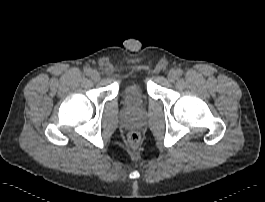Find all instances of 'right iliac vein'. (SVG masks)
I'll use <instances>...</instances> for the list:
<instances>
[{
    "label": "right iliac vein",
    "instance_id": "63e3f726",
    "mask_svg": "<svg viewBox=\"0 0 265 202\" xmlns=\"http://www.w3.org/2000/svg\"><path fill=\"white\" fill-rule=\"evenodd\" d=\"M91 78L95 81L99 80L100 79V74L98 71L96 70H93L90 74Z\"/></svg>",
    "mask_w": 265,
    "mask_h": 202
}]
</instances>
